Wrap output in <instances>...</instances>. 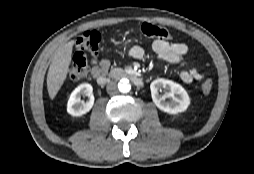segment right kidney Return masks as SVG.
I'll return each mask as SVG.
<instances>
[{
    "mask_svg": "<svg viewBox=\"0 0 254 174\" xmlns=\"http://www.w3.org/2000/svg\"><path fill=\"white\" fill-rule=\"evenodd\" d=\"M82 95L88 96L86 102L80 101ZM93 105V87L91 84L83 83L71 93L67 103V112L72 116H81L89 112Z\"/></svg>",
    "mask_w": 254,
    "mask_h": 174,
    "instance_id": "ca27d5eb",
    "label": "right kidney"
}]
</instances>
